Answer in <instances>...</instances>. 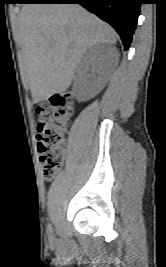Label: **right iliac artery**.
Segmentation results:
<instances>
[{
    "label": "right iliac artery",
    "instance_id": "right-iliac-artery-1",
    "mask_svg": "<svg viewBox=\"0 0 166 267\" xmlns=\"http://www.w3.org/2000/svg\"><path fill=\"white\" fill-rule=\"evenodd\" d=\"M47 235H48V237H49V239H52L53 238V228H52V226L49 224L48 226H47Z\"/></svg>",
    "mask_w": 166,
    "mask_h": 267
}]
</instances>
